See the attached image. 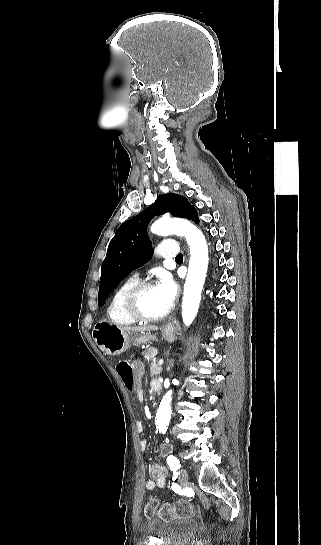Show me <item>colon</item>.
<instances>
[{
	"mask_svg": "<svg viewBox=\"0 0 321 545\" xmlns=\"http://www.w3.org/2000/svg\"><path fill=\"white\" fill-rule=\"evenodd\" d=\"M116 371L121 377L125 387L134 391L137 388V379L133 365L127 360H120L116 364ZM158 510V511H157ZM157 511L158 515L164 519H171L176 517H187L194 512L192 505L186 502H178L173 505H162L159 507V502L152 499L145 507V514L149 516Z\"/></svg>",
	"mask_w": 321,
	"mask_h": 545,
	"instance_id": "colon-1",
	"label": "colon"
}]
</instances>
